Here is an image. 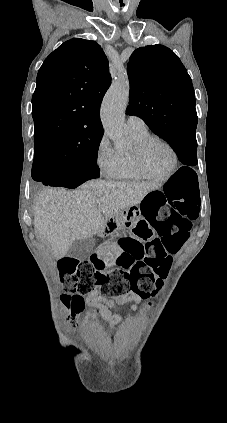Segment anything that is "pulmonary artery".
Returning a JSON list of instances; mask_svg holds the SVG:
<instances>
[{"instance_id":"1","label":"pulmonary artery","mask_w":227,"mask_h":423,"mask_svg":"<svg viewBox=\"0 0 227 423\" xmlns=\"http://www.w3.org/2000/svg\"><path fill=\"white\" fill-rule=\"evenodd\" d=\"M126 127L129 131H143L147 129L145 122L137 116H128Z\"/></svg>"}]
</instances>
